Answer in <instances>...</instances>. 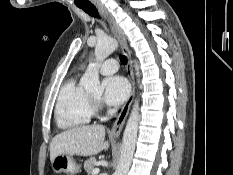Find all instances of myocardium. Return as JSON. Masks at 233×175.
Segmentation results:
<instances>
[{
	"mask_svg": "<svg viewBox=\"0 0 233 175\" xmlns=\"http://www.w3.org/2000/svg\"><path fill=\"white\" fill-rule=\"evenodd\" d=\"M90 102H91L93 111H96L98 108V99L90 97Z\"/></svg>",
	"mask_w": 233,
	"mask_h": 175,
	"instance_id": "myocardium-1",
	"label": "myocardium"
}]
</instances>
